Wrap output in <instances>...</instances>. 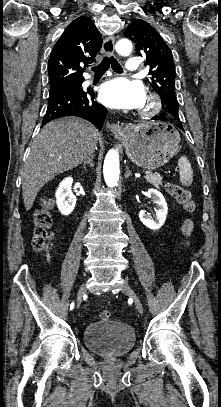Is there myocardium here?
Masks as SVG:
<instances>
[{"instance_id": "myocardium-1", "label": "myocardium", "mask_w": 221, "mask_h": 407, "mask_svg": "<svg viewBox=\"0 0 221 407\" xmlns=\"http://www.w3.org/2000/svg\"><path fill=\"white\" fill-rule=\"evenodd\" d=\"M161 109V100L159 96L153 92H148L145 98V105L141 108L142 116H152Z\"/></svg>"}]
</instances>
